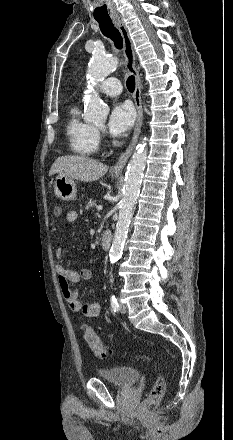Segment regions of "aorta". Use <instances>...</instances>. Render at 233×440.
I'll use <instances>...</instances> for the list:
<instances>
[{
  "mask_svg": "<svg viewBox=\"0 0 233 440\" xmlns=\"http://www.w3.org/2000/svg\"><path fill=\"white\" fill-rule=\"evenodd\" d=\"M118 66V60L102 53H94L89 65L88 74L92 83L97 84L110 75ZM109 108L105 105L98 93L87 96L85 119L89 122L105 121ZM146 137L136 146L125 174L123 198L120 202L119 218L114 233V239L109 251L110 262L115 263L123 254L129 225L133 216L135 204L140 192L143 172L147 159Z\"/></svg>",
  "mask_w": 233,
  "mask_h": 440,
  "instance_id": "762f6f07",
  "label": "aorta"
}]
</instances>
